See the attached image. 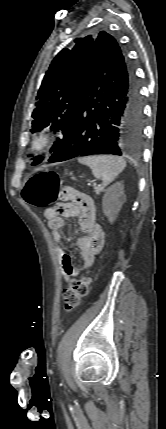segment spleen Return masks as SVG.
Returning <instances> with one entry per match:
<instances>
[{"instance_id":"obj_1","label":"spleen","mask_w":166,"mask_h":429,"mask_svg":"<svg viewBox=\"0 0 166 429\" xmlns=\"http://www.w3.org/2000/svg\"><path fill=\"white\" fill-rule=\"evenodd\" d=\"M78 162L88 166L97 179H102V184H110L126 167L123 158L113 155H94L78 159Z\"/></svg>"}]
</instances>
